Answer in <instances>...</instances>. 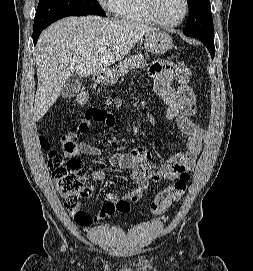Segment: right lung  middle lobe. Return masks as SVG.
I'll return each mask as SVG.
<instances>
[{
  "label": "right lung middle lobe",
  "instance_id": "dd1d6c3e",
  "mask_svg": "<svg viewBox=\"0 0 253 271\" xmlns=\"http://www.w3.org/2000/svg\"><path fill=\"white\" fill-rule=\"evenodd\" d=\"M85 15L105 16V12L97 0H39L33 32L66 16Z\"/></svg>",
  "mask_w": 253,
  "mask_h": 271
}]
</instances>
